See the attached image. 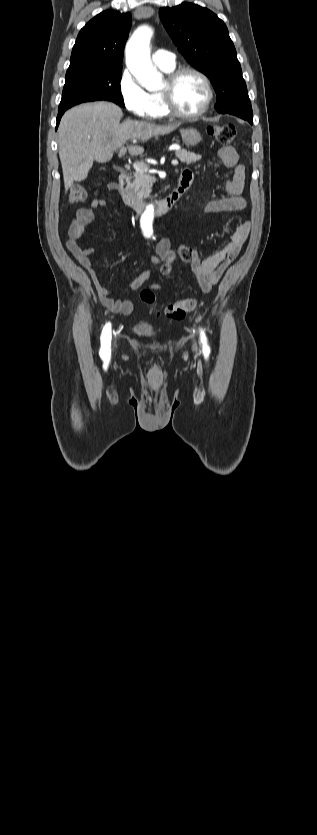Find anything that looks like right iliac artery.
Returning a JSON list of instances; mask_svg holds the SVG:
<instances>
[{
    "instance_id": "right-iliac-artery-1",
    "label": "right iliac artery",
    "mask_w": 317,
    "mask_h": 835,
    "mask_svg": "<svg viewBox=\"0 0 317 835\" xmlns=\"http://www.w3.org/2000/svg\"><path fill=\"white\" fill-rule=\"evenodd\" d=\"M111 324L107 323L103 330L100 337L101 340V348H100V356L103 360H108L110 358V346H111Z\"/></svg>"
}]
</instances>
